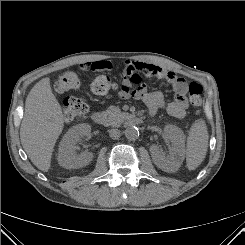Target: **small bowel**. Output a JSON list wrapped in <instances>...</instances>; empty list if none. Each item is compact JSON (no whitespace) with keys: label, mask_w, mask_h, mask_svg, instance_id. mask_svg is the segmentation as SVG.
I'll return each mask as SVG.
<instances>
[{"label":"small bowel","mask_w":245,"mask_h":245,"mask_svg":"<svg viewBox=\"0 0 245 245\" xmlns=\"http://www.w3.org/2000/svg\"><path fill=\"white\" fill-rule=\"evenodd\" d=\"M81 68L93 71H111L114 69V65L108 60H96L82 63ZM135 77L140 80L137 82ZM143 77L165 79L171 85L175 94L174 99L166 106L168 114L178 119L186 115L188 108V84L186 80L155 64L125 61L124 77L120 88L116 91L117 97L140 100L147 106L150 114H155L159 108L164 106V96L160 91H148L146 85L142 83Z\"/></svg>","instance_id":"small-bowel-1"}]
</instances>
